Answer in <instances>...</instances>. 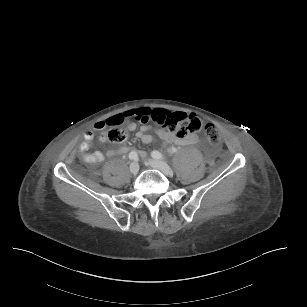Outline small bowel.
I'll list each match as a JSON object with an SVG mask.
<instances>
[{"mask_svg":"<svg viewBox=\"0 0 307 307\" xmlns=\"http://www.w3.org/2000/svg\"><path fill=\"white\" fill-rule=\"evenodd\" d=\"M151 112L148 108H137L129 112V115H133L135 117H147ZM143 124L136 133L138 139H140L144 143H150L153 141V137L148 134L150 126L147 124L148 122H143ZM127 128L129 130H133L135 125L133 123H128ZM102 123H97L95 125L94 130H88L84 134V141L81 143L79 150L83 154V160L88 163H99L105 159V156L112 157L117 153L124 154L130 150V147L127 144H123L119 149L114 150L110 149L106 152V154L102 152H94V153H86L90 147L91 143L94 139V131L102 130ZM158 136L162 139L165 145H200L199 137L196 134H190L186 137H178L174 133L164 131L162 129L157 130ZM101 140H105L104 136H101ZM140 155H143L141 152Z\"/></svg>","mask_w":307,"mask_h":307,"instance_id":"c3829d8e","label":"small bowel"}]
</instances>
